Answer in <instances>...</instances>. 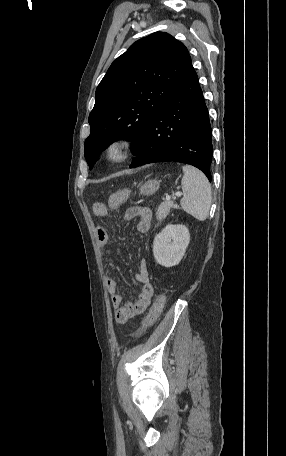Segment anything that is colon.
Returning <instances> with one entry per match:
<instances>
[{"instance_id": "colon-1", "label": "colon", "mask_w": 286, "mask_h": 456, "mask_svg": "<svg viewBox=\"0 0 286 456\" xmlns=\"http://www.w3.org/2000/svg\"><path fill=\"white\" fill-rule=\"evenodd\" d=\"M129 192L127 190H122L115 192L111 195L110 200H109V205L112 206H119L123 204L127 198H128ZM105 205L103 203H96L95 204V209L97 211H102L104 209ZM166 303V295L164 293L159 294L149 313L147 316L143 319V321L140 323L138 326L137 331L141 332L150 327L160 316L161 312L163 311V308Z\"/></svg>"}]
</instances>
